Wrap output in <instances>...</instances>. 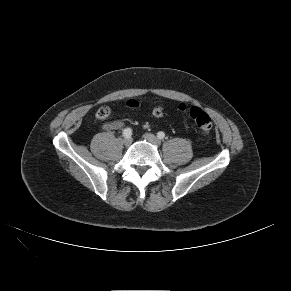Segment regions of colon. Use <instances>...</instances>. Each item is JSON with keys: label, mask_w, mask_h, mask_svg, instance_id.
Here are the masks:
<instances>
[{"label": "colon", "mask_w": 291, "mask_h": 291, "mask_svg": "<svg viewBox=\"0 0 291 291\" xmlns=\"http://www.w3.org/2000/svg\"><path fill=\"white\" fill-rule=\"evenodd\" d=\"M128 105L131 107H136L138 103L134 100H131L128 102ZM179 109L183 112H186L190 116V118L194 121L196 127L201 133L207 135L211 132L212 127H213L212 119L201 108L196 107V106L187 107L184 104H180ZM109 114H110V108L107 106H103L97 111L96 118L100 121H103L108 118ZM152 114L157 119L161 118L164 114L163 107L156 106L153 109Z\"/></svg>", "instance_id": "1"}]
</instances>
